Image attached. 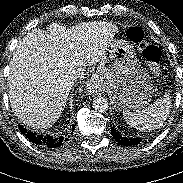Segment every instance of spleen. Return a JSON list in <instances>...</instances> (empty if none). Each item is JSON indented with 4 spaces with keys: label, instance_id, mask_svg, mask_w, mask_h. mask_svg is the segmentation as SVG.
Returning <instances> with one entry per match:
<instances>
[{
    "label": "spleen",
    "instance_id": "3e777b00",
    "mask_svg": "<svg viewBox=\"0 0 183 183\" xmlns=\"http://www.w3.org/2000/svg\"><path fill=\"white\" fill-rule=\"evenodd\" d=\"M171 109V97L164 95L142 110L124 111L127 124L140 131H152L160 128L168 118Z\"/></svg>",
    "mask_w": 183,
    "mask_h": 183
}]
</instances>
